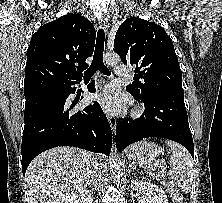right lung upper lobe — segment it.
<instances>
[{"label": "right lung upper lobe", "instance_id": "obj_1", "mask_svg": "<svg viewBox=\"0 0 222 203\" xmlns=\"http://www.w3.org/2000/svg\"><path fill=\"white\" fill-rule=\"evenodd\" d=\"M94 44V26L79 14H67L43 25L27 50L24 94L81 80Z\"/></svg>", "mask_w": 222, "mask_h": 203}]
</instances>
